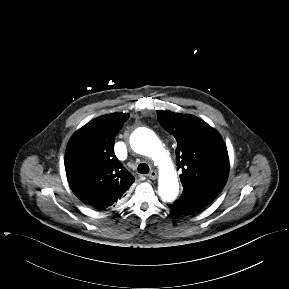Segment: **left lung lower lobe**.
<instances>
[{"mask_svg": "<svg viewBox=\"0 0 289 289\" xmlns=\"http://www.w3.org/2000/svg\"><path fill=\"white\" fill-rule=\"evenodd\" d=\"M209 203L193 199V198H186L181 197L177 201H175L173 204L168 205L170 209L177 213H183V214H190V213H196L203 208H205Z\"/></svg>", "mask_w": 289, "mask_h": 289, "instance_id": "left-lung-lower-lobe-1", "label": "left lung lower lobe"}]
</instances>
